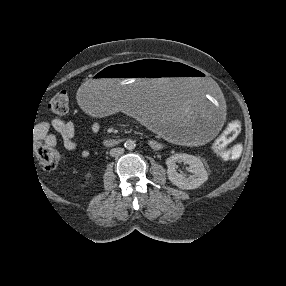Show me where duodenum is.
I'll return each instance as SVG.
<instances>
[{"label": "duodenum", "mask_w": 286, "mask_h": 286, "mask_svg": "<svg viewBox=\"0 0 286 286\" xmlns=\"http://www.w3.org/2000/svg\"><path fill=\"white\" fill-rule=\"evenodd\" d=\"M118 143H119V140H118V139H107V140L105 141V145L108 146V147L114 146V145H116V144H118Z\"/></svg>", "instance_id": "obj_1"}]
</instances>
